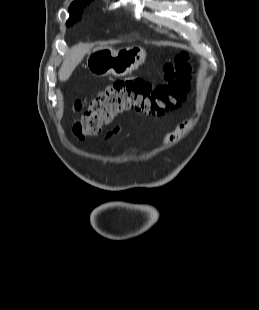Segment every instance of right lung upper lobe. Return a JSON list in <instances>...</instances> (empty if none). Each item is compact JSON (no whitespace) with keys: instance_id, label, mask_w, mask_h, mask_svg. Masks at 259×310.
<instances>
[{"instance_id":"right-lung-upper-lobe-1","label":"right lung upper lobe","mask_w":259,"mask_h":310,"mask_svg":"<svg viewBox=\"0 0 259 310\" xmlns=\"http://www.w3.org/2000/svg\"><path fill=\"white\" fill-rule=\"evenodd\" d=\"M88 1H92V0H76V1L72 2V4L70 5L69 9H74L78 5H80V4L84 3V2H88Z\"/></svg>"}]
</instances>
